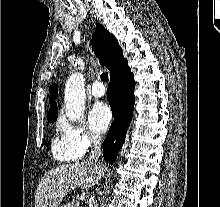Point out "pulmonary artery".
I'll return each instance as SVG.
<instances>
[{"mask_svg": "<svg viewBox=\"0 0 220 207\" xmlns=\"http://www.w3.org/2000/svg\"><path fill=\"white\" fill-rule=\"evenodd\" d=\"M91 94L93 97L95 98H100L105 94V88L104 86L99 83V82H95L92 86L91 89Z\"/></svg>", "mask_w": 220, "mask_h": 207, "instance_id": "1", "label": "pulmonary artery"}]
</instances>
